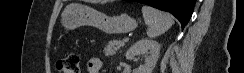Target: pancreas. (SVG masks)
Masks as SVG:
<instances>
[{
	"mask_svg": "<svg viewBox=\"0 0 244 73\" xmlns=\"http://www.w3.org/2000/svg\"><path fill=\"white\" fill-rule=\"evenodd\" d=\"M124 45L125 43H123L122 41L111 40L104 47L103 52L107 56H114L116 52L120 49V47H123Z\"/></svg>",
	"mask_w": 244,
	"mask_h": 73,
	"instance_id": "pancreas-1",
	"label": "pancreas"
}]
</instances>
